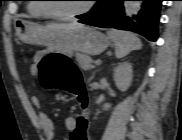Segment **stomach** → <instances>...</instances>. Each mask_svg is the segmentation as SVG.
Returning a JSON list of instances; mask_svg holds the SVG:
<instances>
[{"mask_svg":"<svg viewBox=\"0 0 182 140\" xmlns=\"http://www.w3.org/2000/svg\"><path fill=\"white\" fill-rule=\"evenodd\" d=\"M15 32L25 43L45 45L50 51L67 56H71L74 51L98 55L110 45L106 35L89 26L71 30H48L37 23L18 19Z\"/></svg>","mask_w":182,"mask_h":140,"instance_id":"1","label":"stomach"}]
</instances>
